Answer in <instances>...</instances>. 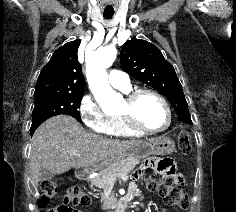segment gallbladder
Listing matches in <instances>:
<instances>
[{
  "instance_id": "bac80fb5",
  "label": "gallbladder",
  "mask_w": 236,
  "mask_h": 212,
  "mask_svg": "<svg viewBox=\"0 0 236 212\" xmlns=\"http://www.w3.org/2000/svg\"><path fill=\"white\" fill-rule=\"evenodd\" d=\"M53 177H54V173L44 168L40 170L39 175H38L39 181L50 180Z\"/></svg>"
}]
</instances>
